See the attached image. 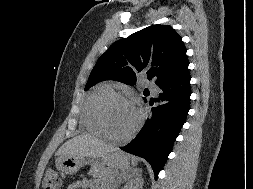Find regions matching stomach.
<instances>
[{
	"mask_svg": "<svg viewBox=\"0 0 253 189\" xmlns=\"http://www.w3.org/2000/svg\"><path fill=\"white\" fill-rule=\"evenodd\" d=\"M93 160H86L81 156H61L56 161L58 170L65 174H75L84 165ZM101 164L111 169H126L129 167V161L126 156L120 152H109L102 156Z\"/></svg>",
	"mask_w": 253,
	"mask_h": 189,
	"instance_id": "obj_1",
	"label": "stomach"
}]
</instances>
